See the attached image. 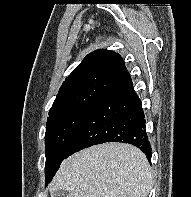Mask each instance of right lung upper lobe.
I'll return each instance as SVG.
<instances>
[{
	"label": "right lung upper lobe",
	"instance_id": "1",
	"mask_svg": "<svg viewBox=\"0 0 191 197\" xmlns=\"http://www.w3.org/2000/svg\"><path fill=\"white\" fill-rule=\"evenodd\" d=\"M130 80L118 53L96 50L88 54L63 82L49 115L76 107L94 106L112 89Z\"/></svg>",
	"mask_w": 191,
	"mask_h": 197
}]
</instances>
